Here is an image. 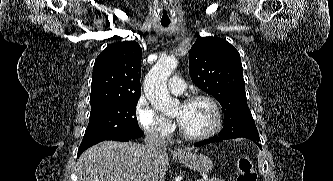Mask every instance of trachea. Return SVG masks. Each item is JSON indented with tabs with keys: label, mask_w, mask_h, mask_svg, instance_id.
I'll use <instances>...</instances> for the list:
<instances>
[{
	"label": "trachea",
	"mask_w": 333,
	"mask_h": 181,
	"mask_svg": "<svg viewBox=\"0 0 333 181\" xmlns=\"http://www.w3.org/2000/svg\"><path fill=\"white\" fill-rule=\"evenodd\" d=\"M161 24L163 26H168L170 24V21H161Z\"/></svg>",
	"instance_id": "3493384b"
}]
</instances>
